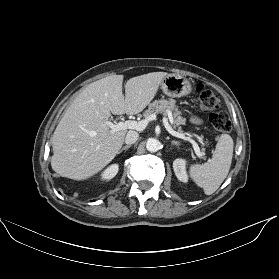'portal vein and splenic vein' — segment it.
I'll return each mask as SVG.
<instances>
[{"instance_id": "obj_1", "label": "portal vein and splenic vein", "mask_w": 279, "mask_h": 279, "mask_svg": "<svg viewBox=\"0 0 279 279\" xmlns=\"http://www.w3.org/2000/svg\"><path fill=\"white\" fill-rule=\"evenodd\" d=\"M156 119V115H150L146 119L141 120V121H132V120H127V121H120L117 124L112 123L111 121H107L106 125L109 126L111 129V132H116L120 130H126V129H135L137 131H142L144 130L147 125L149 124L150 121H153ZM162 122L166 130L173 136L187 140L192 143L194 151L198 157H201L203 153L200 151L198 144L191 139L190 137H186L181 133L176 132L169 124L168 119L166 117L162 118Z\"/></svg>"}]
</instances>
